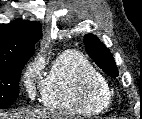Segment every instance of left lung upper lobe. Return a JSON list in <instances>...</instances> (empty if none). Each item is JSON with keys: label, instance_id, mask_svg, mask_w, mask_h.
I'll return each instance as SVG.
<instances>
[{"label": "left lung upper lobe", "instance_id": "1", "mask_svg": "<svg viewBox=\"0 0 142 119\" xmlns=\"http://www.w3.org/2000/svg\"><path fill=\"white\" fill-rule=\"evenodd\" d=\"M84 44L91 58L104 72L111 77L118 76V69L111 52L96 36L86 34Z\"/></svg>", "mask_w": 142, "mask_h": 119}]
</instances>
